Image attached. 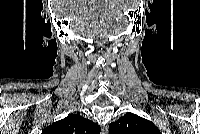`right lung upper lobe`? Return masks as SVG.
Here are the masks:
<instances>
[{
	"label": "right lung upper lobe",
	"instance_id": "1",
	"mask_svg": "<svg viewBox=\"0 0 200 134\" xmlns=\"http://www.w3.org/2000/svg\"><path fill=\"white\" fill-rule=\"evenodd\" d=\"M44 134H99L100 127L94 122L81 117L78 114H71L66 118L54 122L48 126Z\"/></svg>",
	"mask_w": 200,
	"mask_h": 134
}]
</instances>
